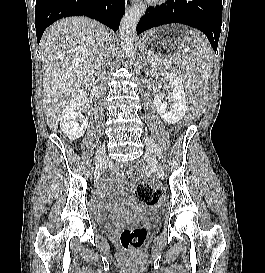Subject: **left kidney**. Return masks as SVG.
Returning <instances> with one entry per match:
<instances>
[{
	"mask_svg": "<svg viewBox=\"0 0 265 273\" xmlns=\"http://www.w3.org/2000/svg\"><path fill=\"white\" fill-rule=\"evenodd\" d=\"M168 77L172 90L170 96L171 101H173L172 107L169 109L167 103L162 101L163 95L161 93L155 94L154 106L165 123L174 124L182 119L186 113V96L181 78L176 73H170Z\"/></svg>",
	"mask_w": 265,
	"mask_h": 273,
	"instance_id": "1",
	"label": "left kidney"
}]
</instances>
